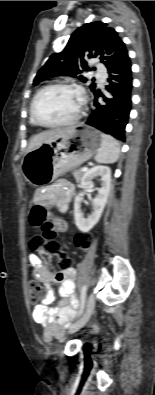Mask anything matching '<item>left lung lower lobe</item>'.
<instances>
[{
  "label": "left lung lower lobe",
  "instance_id": "0a47b994",
  "mask_svg": "<svg viewBox=\"0 0 155 395\" xmlns=\"http://www.w3.org/2000/svg\"><path fill=\"white\" fill-rule=\"evenodd\" d=\"M110 83L106 88L112 95L107 98L94 91V108L86 124L91 125L115 138L125 141V126L128 123L132 97V70L129 56H125L116 66L108 69ZM102 96L106 105L98 102Z\"/></svg>",
  "mask_w": 155,
  "mask_h": 395
}]
</instances>
